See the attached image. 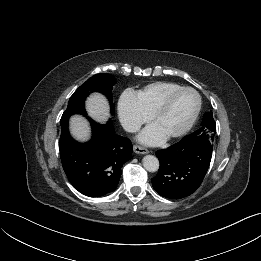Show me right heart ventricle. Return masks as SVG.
<instances>
[{"instance_id": "1", "label": "right heart ventricle", "mask_w": 261, "mask_h": 261, "mask_svg": "<svg viewBox=\"0 0 261 261\" xmlns=\"http://www.w3.org/2000/svg\"><path fill=\"white\" fill-rule=\"evenodd\" d=\"M182 86L170 81H157L144 86L136 91L134 96L142 111L151 116L156 107L161 103L167 94L181 88Z\"/></svg>"}]
</instances>
